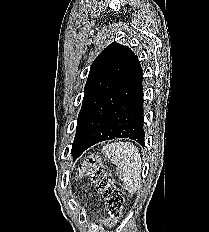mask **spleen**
<instances>
[{"mask_svg": "<svg viewBox=\"0 0 209 232\" xmlns=\"http://www.w3.org/2000/svg\"><path fill=\"white\" fill-rule=\"evenodd\" d=\"M102 151L118 167L119 178L127 191L134 194L139 187L142 170L138 149L128 142H116L107 144Z\"/></svg>", "mask_w": 209, "mask_h": 232, "instance_id": "1", "label": "spleen"}]
</instances>
